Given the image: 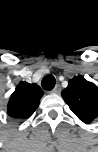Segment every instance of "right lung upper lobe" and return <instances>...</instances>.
<instances>
[{
	"label": "right lung upper lobe",
	"mask_w": 98,
	"mask_h": 152,
	"mask_svg": "<svg viewBox=\"0 0 98 152\" xmlns=\"http://www.w3.org/2000/svg\"><path fill=\"white\" fill-rule=\"evenodd\" d=\"M42 96L43 91L38 85L20 82L9 99L8 115L20 120L29 118L37 109Z\"/></svg>",
	"instance_id": "obj_1"
}]
</instances>
